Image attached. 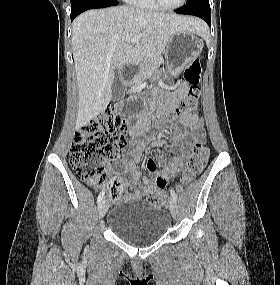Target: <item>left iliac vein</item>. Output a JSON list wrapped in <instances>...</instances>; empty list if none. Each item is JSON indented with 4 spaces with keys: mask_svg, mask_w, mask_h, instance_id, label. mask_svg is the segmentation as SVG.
Returning a JSON list of instances; mask_svg holds the SVG:
<instances>
[{
    "mask_svg": "<svg viewBox=\"0 0 280 285\" xmlns=\"http://www.w3.org/2000/svg\"><path fill=\"white\" fill-rule=\"evenodd\" d=\"M169 211L173 218H176L178 215V206L175 200L170 199L169 200Z\"/></svg>",
    "mask_w": 280,
    "mask_h": 285,
    "instance_id": "left-iliac-vein-1",
    "label": "left iliac vein"
}]
</instances>
